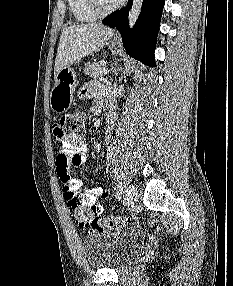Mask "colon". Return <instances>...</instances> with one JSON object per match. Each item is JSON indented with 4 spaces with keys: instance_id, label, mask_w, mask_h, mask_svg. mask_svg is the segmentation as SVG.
Returning <instances> with one entry per match:
<instances>
[{
    "instance_id": "5ec220e1",
    "label": "colon",
    "mask_w": 233,
    "mask_h": 286,
    "mask_svg": "<svg viewBox=\"0 0 233 286\" xmlns=\"http://www.w3.org/2000/svg\"><path fill=\"white\" fill-rule=\"evenodd\" d=\"M84 120L85 115L83 112H70L62 117L57 129L61 134L67 133L79 136L84 130ZM66 203L76 219L89 227L90 232L93 234L119 229L134 221L132 217H102L95 209L83 205L80 198L71 192L66 195Z\"/></svg>"
}]
</instances>
